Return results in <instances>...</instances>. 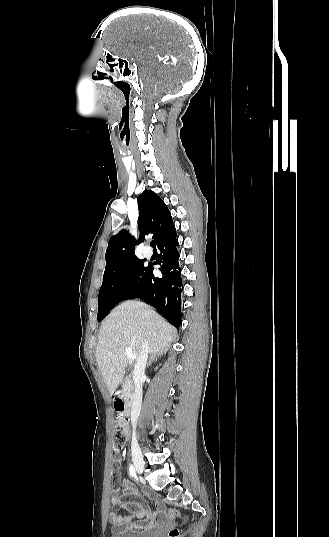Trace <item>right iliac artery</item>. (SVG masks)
Instances as JSON below:
<instances>
[{"label": "right iliac artery", "instance_id": "right-iliac-artery-1", "mask_svg": "<svg viewBox=\"0 0 329 537\" xmlns=\"http://www.w3.org/2000/svg\"><path fill=\"white\" fill-rule=\"evenodd\" d=\"M129 474H130V477H134L136 475L135 468L132 464H130L129 466Z\"/></svg>", "mask_w": 329, "mask_h": 537}]
</instances>
